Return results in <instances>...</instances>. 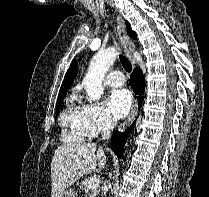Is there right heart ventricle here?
<instances>
[{"instance_id":"e07e8e85","label":"right heart ventricle","mask_w":209,"mask_h":197,"mask_svg":"<svg viewBox=\"0 0 209 197\" xmlns=\"http://www.w3.org/2000/svg\"><path fill=\"white\" fill-rule=\"evenodd\" d=\"M63 128L62 138L67 142H82L89 137L79 106L72 96L67 102L66 109L60 116Z\"/></svg>"}]
</instances>
